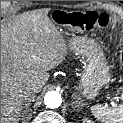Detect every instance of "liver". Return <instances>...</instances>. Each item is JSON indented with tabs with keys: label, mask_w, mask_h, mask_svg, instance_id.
<instances>
[{
	"label": "liver",
	"mask_w": 123,
	"mask_h": 123,
	"mask_svg": "<svg viewBox=\"0 0 123 123\" xmlns=\"http://www.w3.org/2000/svg\"><path fill=\"white\" fill-rule=\"evenodd\" d=\"M77 44H66L46 13H25L1 25V123H18L24 117L23 91L40 92L49 79L47 71Z\"/></svg>",
	"instance_id": "1"
}]
</instances>
